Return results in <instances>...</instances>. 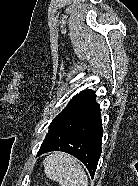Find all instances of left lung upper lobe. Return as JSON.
<instances>
[{
  "label": "left lung upper lobe",
  "instance_id": "left-lung-upper-lobe-1",
  "mask_svg": "<svg viewBox=\"0 0 138 186\" xmlns=\"http://www.w3.org/2000/svg\"><path fill=\"white\" fill-rule=\"evenodd\" d=\"M92 92H93L92 90L82 91L78 95H76L75 97H73L71 99L70 103L67 105V107L55 119H53V121L50 124V126L53 125L61 116H63L68 111H70L73 107H75L80 101H82L84 98H86Z\"/></svg>",
  "mask_w": 138,
  "mask_h": 186
}]
</instances>
